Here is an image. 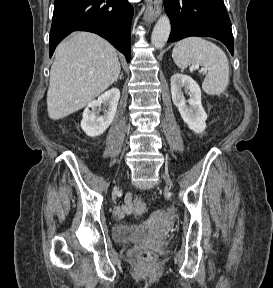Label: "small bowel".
Listing matches in <instances>:
<instances>
[{
    "label": "small bowel",
    "mask_w": 273,
    "mask_h": 288,
    "mask_svg": "<svg viewBox=\"0 0 273 288\" xmlns=\"http://www.w3.org/2000/svg\"><path fill=\"white\" fill-rule=\"evenodd\" d=\"M131 203H132V197L130 194H127L125 197V203L115 208L116 217L121 219L125 217L127 214L132 213Z\"/></svg>",
    "instance_id": "obj_1"
}]
</instances>
